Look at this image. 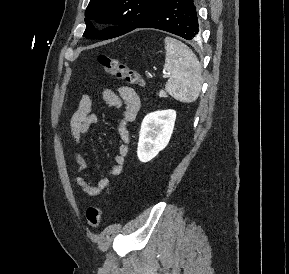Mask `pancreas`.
Returning a JSON list of instances; mask_svg holds the SVG:
<instances>
[{
  "label": "pancreas",
  "mask_w": 289,
  "mask_h": 274,
  "mask_svg": "<svg viewBox=\"0 0 289 274\" xmlns=\"http://www.w3.org/2000/svg\"><path fill=\"white\" fill-rule=\"evenodd\" d=\"M159 96L160 97H166V93L164 91H160Z\"/></svg>",
  "instance_id": "cf45deb5"
}]
</instances>
